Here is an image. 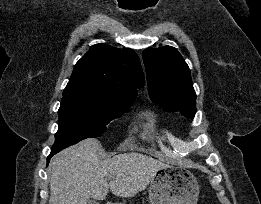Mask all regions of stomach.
<instances>
[{"label":"stomach","mask_w":261,"mask_h":204,"mask_svg":"<svg viewBox=\"0 0 261 204\" xmlns=\"http://www.w3.org/2000/svg\"><path fill=\"white\" fill-rule=\"evenodd\" d=\"M199 184L189 170L167 165L156 171L150 181L151 204H196Z\"/></svg>","instance_id":"0dacf381"}]
</instances>
